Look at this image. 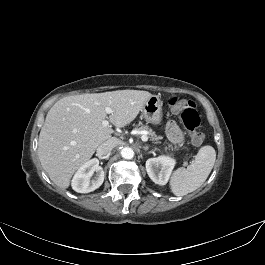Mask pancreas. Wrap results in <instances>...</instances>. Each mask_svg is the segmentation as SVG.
Here are the masks:
<instances>
[{
    "label": "pancreas",
    "mask_w": 265,
    "mask_h": 265,
    "mask_svg": "<svg viewBox=\"0 0 265 265\" xmlns=\"http://www.w3.org/2000/svg\"><path fill=\"white\" fill-rule=\"evenodd\" d=\"M138 130H145V131H147L148 132V135L150 136V138H151V140L152 141H154V142H158V140L159 139H161V137L160 136H157L156 134H155V132L151 129V128H149L147 125H140V127L139 128H137ZM175 150H178V148L177 147H175L174 148Z\"/></svg>",
    "instance_id": "cf45deb5"
}]
</instances>
